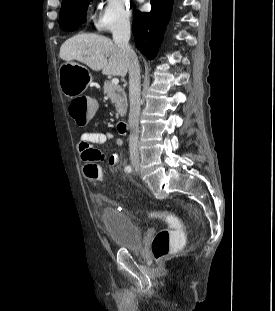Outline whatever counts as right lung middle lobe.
<instances>
[{"label":"right lung middle lobe","mask_w":275,"mask_h":311,"mask_svg":"<svg viewBox=\"0 0 275 311\" xmlns=\"http://www.w3.org/2000/svg\"><path fill=\"white\" fill-rule=\"evenodd\" d=\"M91 0H65L60 10L59 25L64 30L77 29L78 23H83L85 12Z\"/></svg>","instance_id":"right-lung-middle-lobe-1"}]
</instances>
